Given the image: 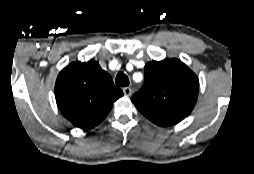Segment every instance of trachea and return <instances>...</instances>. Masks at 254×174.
I'll return each instance as SVG.
<instances>
[{
    "label": "trachea",
    "instance_id": "trachea-1",
    "mask_svg": "<svg viewBox=\"0 0 254 174\" xmlns=\"http://www.w3.org/2000/svg\"><path fill=\"white\" fill-rule=\"evenodd\" d=\"M116 85L121 87H126L129 85V79L126 74L119 72L116 76Z\"/></svg>",
    "mask_w": 254,
    "mask_h": 174
}]
</instances>
